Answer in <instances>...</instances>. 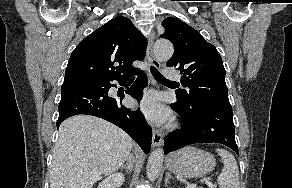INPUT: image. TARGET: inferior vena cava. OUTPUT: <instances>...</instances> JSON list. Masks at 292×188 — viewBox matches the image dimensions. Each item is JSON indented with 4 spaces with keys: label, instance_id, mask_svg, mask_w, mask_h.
Listing matches in <instances>:
<instances>
[{
    "label": "inferior vena cava",
    "instance_id": "inferior-vena-cava-1",
    "mask_svg": "<svg viewBox=\"0 0 292 188\" xmlns=\"http://www.w3.org/2000/svg\"><path fill=\"white\" fill-rule=\"evenodd\" d=\"M131 160V156L128 158V162Z\"/></svg>",
    "mask_w": 292,
    "mask_h": 188
}]
</instances>
